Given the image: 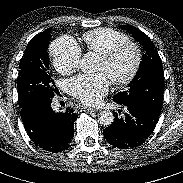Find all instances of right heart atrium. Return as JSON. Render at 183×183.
<instances>
[{
  "label": "right heart atrium",
  "instance_id": "obj_1",
  "mask_svg": "<svg viewBox=\"0 0 183 183\" xmlns=\"http://www.w3.org/2000/svg\"><path fill=\"white\" fill-rule=\"evenodd\" d=\"M51 55L55 69L66 75L79 67L82 51L72 37L61 36L52 43Z\"/></svg>",
  "mask_w": 183,
  "mask_h": 183
}]
</instances>
